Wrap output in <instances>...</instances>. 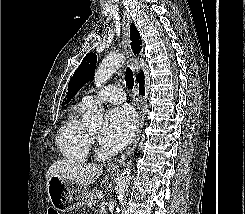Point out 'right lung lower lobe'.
<instances>
[{
    "label": "right lung lower lobe",
    "instance_id": "98d812e1",
    "mask_svg": "<svg viewBox=\"0 0 245 214\" xmlns=\"http://www.w3.org/2000/svg\"><path fill=\"white\" fill-rule=\"evenodd\" d=\"M137 81L139 82V88H140L139 90H140L141 94L144 95L145 94V91H144V84H145L144 73L137 77Z\"/></svg>",
    "mask_w": 245,
    "mask_h": 214
}]
</instances>
